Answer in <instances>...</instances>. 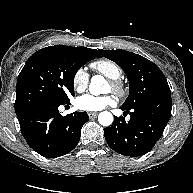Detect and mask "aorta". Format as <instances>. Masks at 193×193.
I'll list each match as a JSON object with an SVG mask.
<instances>
[{
    "mask_svg": "<svg viewBox=\"0 0 193 193\" xmlns=\"http://www.w3.org/2000/svg\"><path fill=\"white\" fill-rule=\"evenodd\" d=\"M104 85H106L105 79L101 75H95L91 79L89 91L92 95L98 96L103 93ZM98 121L103 126H110L113 123V115L108 111L101 112Z\"/></svg>",
    "mask_w": 193,
    "mask_h": 193,
    "instance_id": "obj_1",
    "label": "aorta"
}]
</instances>
